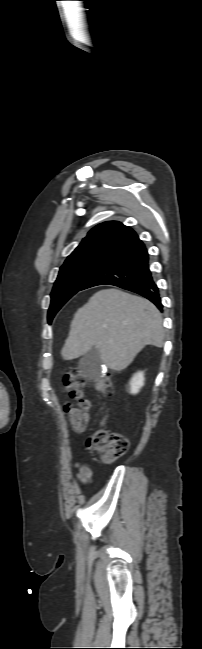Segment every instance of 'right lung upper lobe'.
<instances>
[{"label":"right lung upper lobe","instance_id":"cb5924a9","mask_svg":"<svg viewBox=\"0 0 202 649\" xmlns=\"http://www.w3.org/2000/svg\"><path fill=\"white\" fill-rule=\"evenodd\" d=\"M141 242L130 227L117 221H107L92 228L70 256L90 252H106L117 255Z\"/></svg>","mask_w":202,"mask_h":649}]
</instances>
